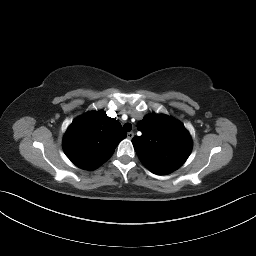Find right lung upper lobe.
<instances>
[{
	"label": "right lung upper lobe",
	"instance_id": "cb5924a9",
	"mask_svg": "<svg viewBox=\"0 0 256 256\" xmlns=\"http://www.w3.org/2000/svg\"><path fill=\"white\" fill-rule=\"evenodd\" d=\"M126 136L117 120L103 111H91L72 122L64 135L63 149L75 165L94 170L111 157Z\"/></svg>",
	"mask_w": 256,
	"mask_h": 256
}]
</instances>
